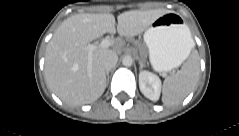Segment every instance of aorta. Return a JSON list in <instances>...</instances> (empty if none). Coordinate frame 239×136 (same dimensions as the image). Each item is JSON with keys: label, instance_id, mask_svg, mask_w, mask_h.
<instances>
[{"label": "aorta", "instance_id": "aorta-1", "mask_svg": "<svg viewBox=\"0 0 239 136\" xmlns=\"http://www.w3.org/2000/svg\"><path fill=\"white\" fill-rule=\"evenodd\" d=\"M122 64L126 67H130L133 64V59L130 56H125L122 60Z\"/></svg>", "mask_w": 239, "mask_h": 136}]
</instances>
